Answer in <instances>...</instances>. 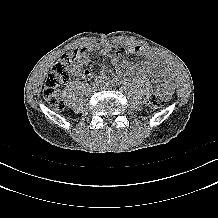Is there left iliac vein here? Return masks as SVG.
Instances as JSON below:
<instances>
[{"label":"left iliac vein","mask_w":218,"mask_h":218,"mask_svg":"<svg viewBox=\"0 0 218 218\" xmlns=\"http://www.w3.org/2000/svg\"><path fill=\"white\" fill-rule=\"evenodd\" d=\"M104 88L109 89L110 87H109V85L106 83V84L104 85Z\"/></svg>","instance_id":"1"}]
</instances>
